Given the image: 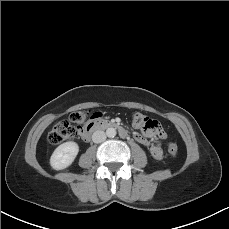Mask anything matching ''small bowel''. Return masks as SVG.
<instances>
[{"instance_id": "c3829d8e", "label": "small bowel", "mask_w": 229, "mask_h": 229, "mask_svg": "<svg viewBox=\"0 0 229 229\" xmlns=\"http://www.w3.org/2000/svg\"><path fill=\"white\" fill-rule=\"evenodd\" d=\"M163 135L164 134H163L162 129L157 132L152 131L150 129H144L143 135L136 134L135 138L138 142H140L141 144L149 148V152L154 159L160 160L163 156V151H162L159 140L155 141L154 143H151L147 138H153V137L162 138Z\"/></svg>"}]
</instances>
